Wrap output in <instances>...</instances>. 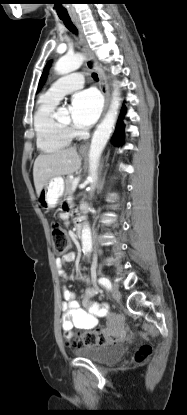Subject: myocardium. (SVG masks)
I'll return each instance as SVG.
<instances>
[{
  "instance_id": "myocardium-1",
  "label": "myocardium",
  "mask_w": 187,
  "mask_h": 415,
  "mask_svg": "<svg viewBox=\"0 0 187 415\" xmlns=\"http://www.w3.org/2000/svg\"><path fill=\"white\" fill-rule=\"evenodd\" d=\"M61 128L67 131L69 134L73 132V129L70 125L62 124L60 121L57 122Z\"/></svg>"
}]
</instances>
